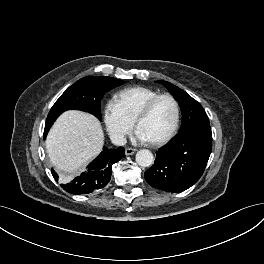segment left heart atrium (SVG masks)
Instances as JSON below:
<instances>
[{
  "mask_svg": "<svg viewBox=\"0 0 264 264\" xmlns=\"http://www.w3.org/2000/svg\"><path fill=\"white\" fill-rule=\"evenodd\" d=\"M133 139L135 141H137V142H149V139L138 128H137V130L134 133Z\"/></svg>",
  "mask_w": 264,
  "mask_h": 264,
  "instance_id": "left-heart-atrium-1",
  "label": "left heart atrium"
}]
</instances>
